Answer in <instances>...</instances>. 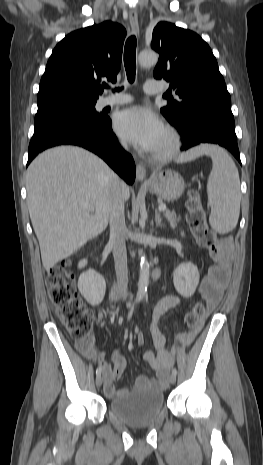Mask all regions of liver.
<instances>
[{"instance_id":"liver-1","label":"liver","mask_w":263,"mask_h":465,"mask_svg":"<svg viewBox=\"0 0 263 465\" xmlns=\"http://www.w3.org/2000/svg\"><path fill=\"white\" fill-rule=\"evenodd\" d=\"M118 181L103 160L80 147H55L31 162L26 172L27 202L46 270L106 229ZM129 197L125 186L124 198ZM84 203L93 206L94 213Z\"/></svg>"}]
</instances>
